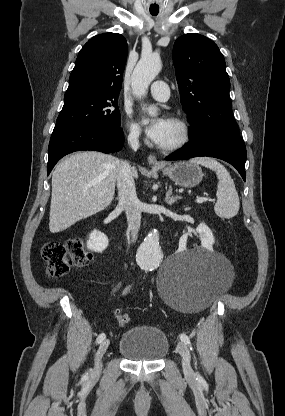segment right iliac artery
<instances>
[{
  "label": "right iliac artery",
  "mask_w": 285,
  "mask_h": 416,
  "mask_svg": "<svg viewBox=\"0 0 285 416\" xmlns=\"http://www.w3.org/2000/svg\"><path fill=\"white\" fill-rule=\"evenodd\" d=\"M126 292H127V289L124 291V293ZM105 338H106V335L104 333L99 334V336L96 339V343L98 344L101 343ZM87 377H88V374H85L84 378H87Z\"/></svg>",
  "instance_id": "1"
}]
</instances>
